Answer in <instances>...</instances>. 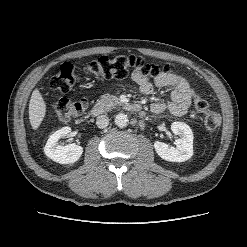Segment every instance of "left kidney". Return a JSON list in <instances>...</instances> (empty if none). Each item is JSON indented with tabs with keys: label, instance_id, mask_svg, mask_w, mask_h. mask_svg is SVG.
<instances>
[{
	"label": "left kidney",
	"instance_id": "left-kidney-1",
	"mask_svg": "<svg viewBox=\"0 0 247 247\" xmlns=\"http://www.w3.org/2000/svg\"><path fill=\"white\" fill-rule=\"evenodd\" d=\"M171 130L180 138L176 140V147H169L167 144L156 141L154 148L156 153L164 160L170 162H184L193 155V132L191 128L183 122H173Z\"/></svg>",
	"mask_w": 247,
	"mask_h": 247
}]
</instances>
